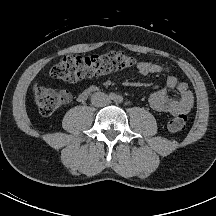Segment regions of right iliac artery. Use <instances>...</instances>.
Segmentation results:
<instances>
[{"mask_svg":"<svg viewBox=\"0 0 216 216\" xmlns=\"http://www.w3.org/2000/svg\"><path fill=\"white\" fill-rule=\"evenodd\" d=\"M109 97H110L111 99H114V98H115V94H114V93H110V94H109Z\"/></svg>","mask_w":216,"mask_h":216,"instance_id":"82829eb1","label":"right iliac artery"}]
</instances>
